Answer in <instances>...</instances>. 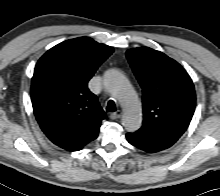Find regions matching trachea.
I'll return each mask as SVG.
<instances>
[{
	"instance_id": "1",
	"label": "trachea",
	"mask_w": 220,
	"mask_h": 196,
	"mask_svg": "<svg viewBox=\"0 0 220 196\" xmlns=\"http://www.w3.org/2000/svg\"><path fill=\"white\" fill-rule=\"evenodd\" d=\"M106 110H107L108 112H114V111H116V106H115V103H114L113 100L108 101Z\"/></svg>"
}]
</instances>
